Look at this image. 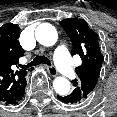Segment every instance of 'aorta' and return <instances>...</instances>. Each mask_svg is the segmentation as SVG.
Wrapping results in <instances>:
<instances>
[{
    "mask_svg": "<svg viewBox=\"0 0 117 117\" xmlns=\"http://www.w3.org/2000/svg\"><path fill=\"white\" fill-rule=\"evenodd\" d=\"M36 40L43 46H53L58 39L55 27L49 23L40 24L35 30ZM55 92L61 96L67 95L70 91V81L65 77H57L53 81Z\"/></svg>",
    "mask_w": 117,
    "mask_h": 117,
    "instance_id": "762f6f07",
    "label": "aorta"
}]
</instances>
